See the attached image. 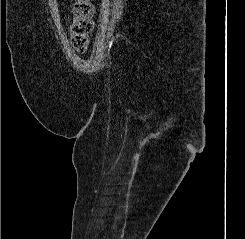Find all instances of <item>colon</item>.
<instances>
[{"label": "colon", "mask_w": 245, "mask_h": 239, "mask_svg": "<svg viewBox=\"0 0 245 239\" xmlns=\"http://www.w3.org/2000/svg\"><path fill=\"white\" fill-rule=\"evenodd\" d=\"M95 5L92 0H74L71 5L70 40L80 53L86 52L93 30Z\"/></svg>", "instance_id": "colon-1"}]
</instances>
